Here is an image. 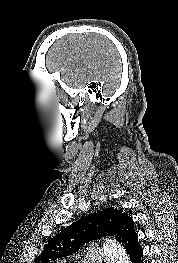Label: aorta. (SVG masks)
I'll list each match as a JSON object with an SVG mask.
<instances>
[{"instance_id": "762f6f07", "label": "aorta", "mask_w": 178, "mask_h": 263, "mask_svg": "<svg viewBox=\"0 0 178 263\" xmlns=\"http://www.w3.org/2000/svg\"><path fill=\"white\" fill-rule=\"evenodd\" d=\"M104 251L108 263H131L125 249L113 239H105Z\"/></svg>"}]
</instances>
